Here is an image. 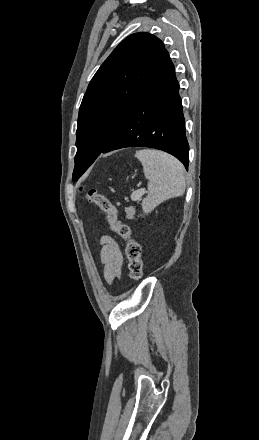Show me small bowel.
<instances>
[{"label": "small bowel", "mask_w": 259, "mask_h": 440, "mask_svg": "<svg viewBox=\"0 0 259 440\" xmlns=\"http://www.w3.org/2000/svg\"><path fill=\"white\" fill-rule=\"evenodd\" d=\"M100 244V261L103 264L104 278L111 284L120 277L123 254L118 243L108 235L101 238Z\"/></svg>", "instance_id": "1"}]
</instances>
